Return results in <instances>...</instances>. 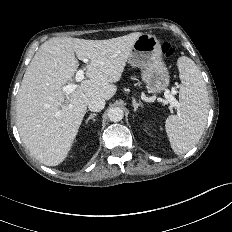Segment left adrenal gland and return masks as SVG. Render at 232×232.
I'll list each match as a JSON object with an SVG mask.
<instances>
[{"label": "left adrenal gland", "instance_id": "obj_1", "mask_svg": "<svg viewBox=\"0 0 232 232\" xmlns=\"http://www.w3.org/2000/svg\"><path fill=\"white\" fill-rule=\"evenodd\" d=\"M132 100H133V107L135 112L138 110V107H143L142 103H138L135 98H132Z\"/></svg>", "mask_w": 232, "mask_h": 232}]
</instances>
